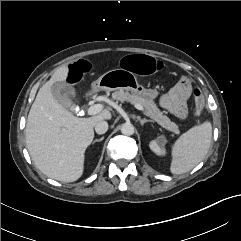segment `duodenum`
Wrapping results in <instances>:
<instances>
[{"label":"duodenum","instance_id":"1","mask_svg":"<svg viewBox=\"0 0 241 241\" xmlns=\"http://www.w3.org/2000/svg\"><path fill=\"white\" fill-rule=\"evenodd\" d=\"M89 96H90V93L87 92V93L85 94V97L87 98V97H89Z\"/></svg>","mask_w":241,"mask_h":241}]
</instances>
